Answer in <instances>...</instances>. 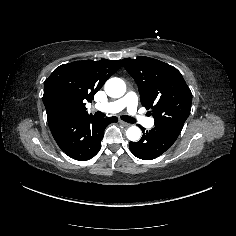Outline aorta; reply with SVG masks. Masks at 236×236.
Wrapping results in <instances>:
<instances>
[{"label": "aorta", "instance_id": "aorta-1", "mask_svg": "<svg viewBox=\"0 0 236 236\" xmlns=\"http://www.w3.org/2000/svg\"><path fill=\"white\" fill-rule=\"evenodd\" d=\"M104 90L109 97H121L126 91L125 83L119 78H110L104 85ZM141 130L137 126H131L126 131V136L130 141L136 142L141 137Z\"/></svg>", "mask_w": 236, "mask_h": 236}]
</instances>
